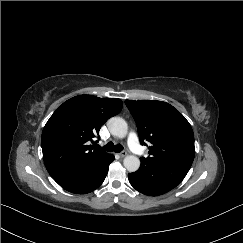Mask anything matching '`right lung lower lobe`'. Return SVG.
Segmentation results:
<instances>
[{"instance_id": "98d812e1", "label": "right lung lower lobe", "mask_w": 243, "mask_h": 243, "mask_svg": "<svg viewBox=\"0 0 243 243\" xmlns=\"http://www.w3.org/2000/svg\"><path fill=\"white\" fill-rule=\"evenodd\" d=\"M114 159L113 155L107 154L94 160L82 169L55 176L53 179L69 192L86 194L103 183L108 167Z\"/></svg>"}]
</instances>
